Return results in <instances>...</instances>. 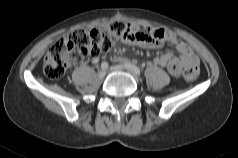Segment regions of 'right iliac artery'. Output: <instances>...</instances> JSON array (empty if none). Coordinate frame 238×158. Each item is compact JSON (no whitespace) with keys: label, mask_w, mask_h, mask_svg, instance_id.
<instances>
[{"label":"right iliac artery","mask_w":238,"mask_h":158,"mask_svg":"<svg viewBox=\"0 0 238 158\" xmlns=\"http://www.w3.org/2000/svg\"><path fill=\"white\" fill-rule=\"evenodd\" d=\"M101 68H102L103 70H106V69L108 68V63H107V62H102Z\"/></svg>","instance_id":"82829eb1"}]
</instances>
